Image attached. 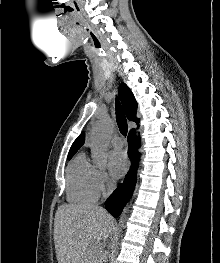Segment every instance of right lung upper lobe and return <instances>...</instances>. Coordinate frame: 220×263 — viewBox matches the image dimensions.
Returning a JSON list of instances; mask_svg holds the SVG:
<instances>
[{
	"label": "right lung upper lobe",
	"mask_w": 220,
	"mask_h": 263,
	"mask_svg": "<svg viewBox=\"0 0 220 263\" xmlns=\"http://www.w3.org/2000/svg\"><path fill=\"white\" fill-rule=\"evenodd\" d=\"M119 95L127 118L139 124V119L136 118L137 103L135 101V98L131 90L128 88L126 84L122 83L119 86ZM84 141H85V134L81 133L79 137L72 144L68 156L74 155L78 151V149L83 145Z\"/></svg>",
	"instance_id": "cb5924a9"
}]
</instances>
